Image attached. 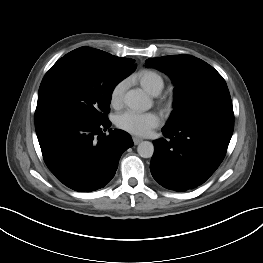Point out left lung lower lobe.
Wrapping results in <instances>:
<instances>
[{"instance_id": "obj_1", "label": "left lung lower lobe", "mask_w": 263, "mask_h": 263, "mask_svg": "<svg viewBox=\"0 0 263 263\" xmlns=\"http://www.w3.org/2000/svg\"><path fill=\"white\" fill-rule=\"evenodd\" d=\"M234 129V115L211 113L165 125L154 140L153 178L166 189L187 191L203 184L223 161Z\"/></svg>"}]
</instances>
